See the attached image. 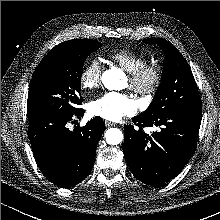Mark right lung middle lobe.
<instances>
[{
  "mask_svg": "<svg viewBox=\"0 0 220 220\" xmlns=\"http://www.w3.org/2000/svg\"><path fill=\"white\" fill-rule=\"evenodd\" d=\"M101 44L90 39H74L55 46L39 63L32 76L27 113L77 111L81 75L85 59Z\"/></svg>",
  "mask_w": 220,
  "mask_h": 220,
  "instance_id": "right-lung-middle-lobe-1",
  "label": "right lung middle lobe"
}]
</instances>
